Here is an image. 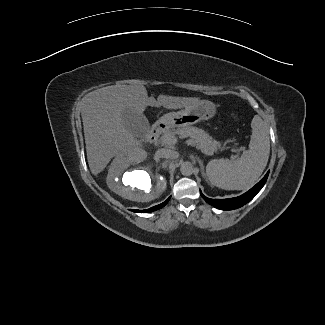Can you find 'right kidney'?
I'll return each instance as SVG.
<instances>
[{"instance_id":"1","label":"right kidney","mask_w":325,"mask_h":325,"mask_svg":"<svg viewBox=\"0 0 325 325\" xmlns=\"http://www.w3.org/2000/svg\"><path fill=\"white\" fill-rule=\"evenodd\" d=\"M144 160L129 154L118 155L108 171V187L131 201L149 202L159 197L166 189V179L154 173Z\"/></svg>"}]
</instances>
